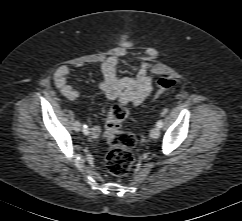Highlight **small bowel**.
I'll return each mask as SVG.
<instances>
[{
    "mask_svg": "<svg viewBox=\"0 0 242 221\" xmlns=\"http://www.w3.org/2000/svg\"><path fill=\"white\" fill-rule=\"evenodd\" d=\"M124 48H118L101 65L103 80L100 90L108 101L140 106L152 93L153 79L148 73V60H143L135 77H120L117 73V63L125 55ZM71 70L68 66H60L54 74V82L60 93L68 100H76L79 92L68 82ZM91 134L97 137L100 128L90 124Z\"/></svg>",
    "mask_w": 242,
    "mask_h": 221,
    "instance_id": "small-bowel-1",
    "label": "small bowel"
}]
</instances>
